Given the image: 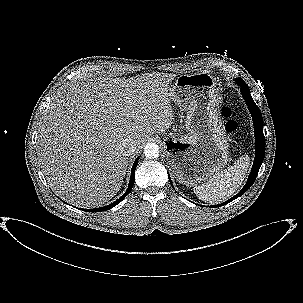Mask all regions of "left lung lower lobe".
Segmentation results:
<instances>
[{"label": "left lung lower lobe", "mask_w": 303, "mask_h": 303, "mask_svg": "<svg viewBox=\"0 0 303 303\" xmlns=\"http://www.w3.org/2000/svg\"><path fill=\"white\" fill-rule=\"evenodd\" d=\"M235 82L241 87V93H242L243 98L246 101V104L252 115L254 131H255V147H256L255 159H254L252 170H251V173L247 180V183L242 188V190L238 194H236L234 197H232L231 199L227 200L226 202H224L222 204L214 205V207L226 205V204L230 203L231 201H233L234 199L242 196L251 187V185L255 181V179L258 175L260 166L264 159L265 138H264V134H263V119H262L260 110H259L258 106L255 104V102L253 101L251 94H250V89L248 88L247 84L241 78L235 79ZM169 181L172 185L170 177H169Z\"/></svg>", "instance_id": "1"}]
</instances>
